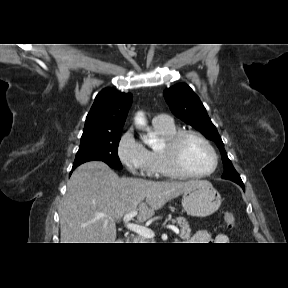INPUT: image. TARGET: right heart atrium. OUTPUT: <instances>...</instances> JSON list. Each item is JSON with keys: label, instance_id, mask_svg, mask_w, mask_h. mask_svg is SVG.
Listing matches in <instances>:
<instances>
[{"label": "right heart atrium", "instance_id": "d8ad5b80", "mask_svg": "<svg viewBox=\"0 0 288 288\" xmlns=\"http://www.w3.org/2000/svg\"><path fill=\"white\" fill-rule=\"evenodd\" d=\"M117 155L125 168L134 175L154 176L149 164V151L139 142L131 130L119 139Z\"/></svg>", "mask_w": 288, "mask_h": 288}]
</instances>
